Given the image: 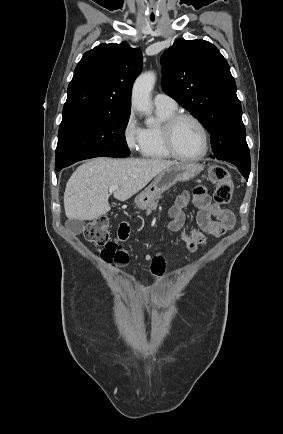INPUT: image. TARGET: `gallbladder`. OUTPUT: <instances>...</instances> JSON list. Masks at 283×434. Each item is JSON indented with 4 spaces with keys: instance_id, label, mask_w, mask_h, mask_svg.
Listing matches in <instances>:
<instances>
[{
    "instance_id": "1",
    "label": "gallbladder",
    "mask_w": 283,
    "mask_h": 434,
    "mask_svg": "<svg viewBox=\"0 0 283 434\" xmlns=\"http://www.w3.org/2000/svg\"><path fill=\"white\" fill-rule=\"evenodd\" d=\"M67 227L73 234H80L84 230V222L82 220H69Z\"/></svg>"
}]
</instances>
